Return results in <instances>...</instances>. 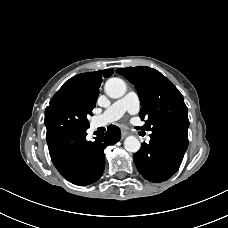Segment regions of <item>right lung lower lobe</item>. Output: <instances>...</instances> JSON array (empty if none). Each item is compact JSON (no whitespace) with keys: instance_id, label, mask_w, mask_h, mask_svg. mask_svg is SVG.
Instances as JSON below:
<instances>
[{"instance_id":"98d812e1","label":"right lung lower lobe","mask_w":228,"mask_h":228,"mask_svg":"<svg viewBox=\"0 0 228 228\" xmlns=\"http://www.w3.org/2000/svg\"><path fill=\"white\" fill-rule=\"evenodd\" d=\"M86 130L63 132L47 140L54 166L65 179L76 185L92 184L102 176L104 149L121 138L120 129L114 125L94 142L86 140Z\"/></svg>"}]
</instances>
